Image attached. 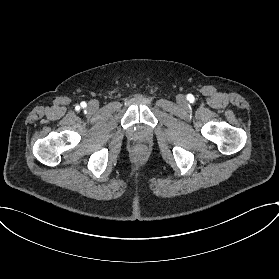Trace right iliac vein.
Masks as SVG:
<instances>
[{
	"label": "right iliac vein",
	"instance_id": "1",
	"mask_svg": "<svg viewBox=\"0 0 279 279\" xmlns=\"http://www.w3.org/2000/svg\"><path fill=\"white\" fill-rule=\"evenodd\" d=\"M87 109L90 111V112H95L97 109H98V103L97 101L93 100V101H90L87 105Z\"/></svg>",
	"mask_w": 279,
	"mask_h": 279
}]
</instances>
